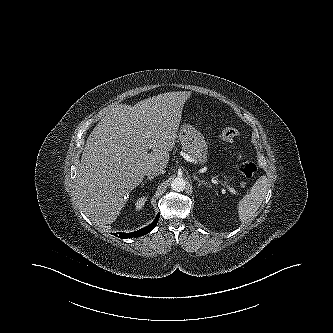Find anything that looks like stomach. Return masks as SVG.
Listing matches in <instances>:
<instances>
[{"mask_svg":"<svg viewBox=\"0 0 333 333\" xmlns=\"http://www.w3.org/2000/svg\"><path fill=\"white\" fill-rule=\"evenodd\" d=\"M178 136L183 150L193 162L204 164L207 160V143L204 136L192 125L186 123L180 126Z\"/></svg>","mask_w":333,"mask_h":333,"instance_id":"stomach-1","label":"stomach"}]
</instances>
